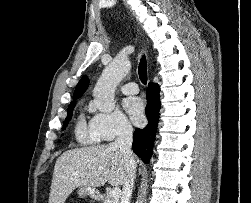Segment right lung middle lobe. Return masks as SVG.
<instances>
[{"mask_svg": "<svg viewBox=\"0 0 251 203\" xmlns=\"http://www.w3.org/2000/svg\"><path fill=\"white\" fill-rule=\"evenodd\" d=\"M75 104H76V102H73V103H71V104L69 105V107H68L67 117H66V119H65V123H64V126H63L64 129H65V127L67 126L69 120H70L71 117H72V113H73V109H74V107H75Z\"/></svg>", "mask_w": 251, "mask_h": 203, "instance_id": "right-lung-middle-lobe-1", "label": "right lung middle lobe"}]
</instances>
